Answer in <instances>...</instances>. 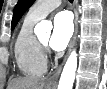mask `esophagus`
I'll use <instances>...</instances> for the list:
<instances>
[{"mask_svg": "<svg viewBox=\"0 0 107 89\" xmlns=\"http://www.w3.org/2000/svg\"><path fill=\"white\" fill-rule=\"evenodd\" d=\"M73 11H74V33H73L72 39H71L70 44H69L68 53L65 56L63 63L60 65V67L55 72V74L48 80V84H50V85H56L57 84V79L61 73L62 67H63V65H64L73 45L75 43V40H76L77 31H78V0H74Z\"/></svg>", "mask_w": 107, "mask_h": 89, "instance_id": "esophagus-1", "label": "esophagus"}]
</instances>
